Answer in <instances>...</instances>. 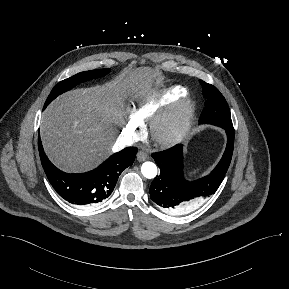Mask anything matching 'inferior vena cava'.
<instances>
[{
	"label": "inferior vena cava",
	"mask_w": 289,
	"mask_h": 289,
	"mask_svg": "<svg viewBox=\"0 0 289 289\" xmlns=\"http://www.w3.org/2000/svg\"><path fill=\"white\" fill-rule=\"evenodd\" d=\"M133 144H134V139L131 136H128V135L122 133L117 138V140L113 146V150L117 151L121 148H124L126 146H131Z\"/></svg>",
	"instance_id": "602c4592"
}]
</instances>
